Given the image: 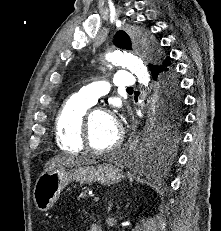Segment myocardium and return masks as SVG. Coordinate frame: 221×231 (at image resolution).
<instances>
[{"mask_svg":"<svg viewBox=\"0 0 221 231\" xmlns=\"http://www.w3.org/2000/svg\"><path fill=\"white\" fill-rule=\"evenodd\" d=\"M108 113V111L102 107H94L88 109L81 122V142L85 150L95 155H105L117 150L123 142V132L119 131L118 136L113 144L104 149H98L93 146L90 138L91 134V119L92 116L97 113Z\"/></svg>","mask_w":221,"mask_h":231,"instance_id":"obj_1","label":"myocardium"}]
</instances>
